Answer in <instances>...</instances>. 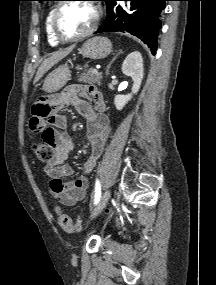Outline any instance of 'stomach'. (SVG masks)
I'll return each instance as SVG.
<instances>
[{"label":"stomach","instance_id":"0dacf381","mask_svg":"<svg viewBox=\"0 0 216 285\" xmlns=\"http://www.w3.org/2000/svg\"><path fill=\"white\" fill-rule=\"evenodd\" d=\"M111 49L112 44L108 38L96 36L87 40L79 49V52L86 58L97 60L109 55ZM70 77L71 71L69 67L66 64L61 65L48 74L42 89L47 93L58 92L66 85Z\"/></svg>","mask_w":216,"mask_h":285}]
</instances>
